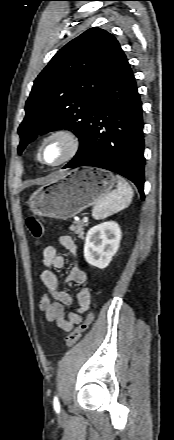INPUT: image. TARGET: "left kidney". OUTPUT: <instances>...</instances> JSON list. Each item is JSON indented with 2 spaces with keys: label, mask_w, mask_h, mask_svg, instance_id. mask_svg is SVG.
Returning a JSON list of instances; mask_svg holds the SVG:
<instances>
[{
  "label": "left kidney",
  "mask_w": 174,
  "mask_h": 440,
  "mask_svg": "<svg viewBox=\"0 0 174 440\" xmlns=\"http://www.w3.org/2000/svg\"><path fill=\"white\" fill-rule=\"evenodd\" d=\"M120 240L121 229L114 221L92 227L85 239V260L99 269L106 268L116 254Z\"/></svg>",
  "instance_id": "5707ae66"
}]
</instances>
